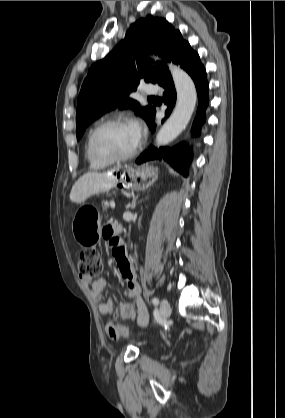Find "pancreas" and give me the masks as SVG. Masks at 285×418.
<instances>
[{
	"label": "pancreas",
	"instance_id": "1",
	"mask_svg": "<svg viewBox=\"0 0 285 418\" xmlns=\"http://www.w3.org/2000/svg\"><path fill=\"white\" fill-rule=\"evenodd\" d=\"M109 207V203L108 202H105V201H103L102 202V208H103V210H107V208Z\"/></svg>",
	"mask_w": 285,
	"mask_h": 418
}]
</instances>
